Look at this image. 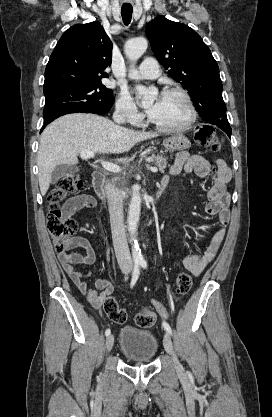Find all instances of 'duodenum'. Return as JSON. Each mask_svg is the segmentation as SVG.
I'll return each mask as SVG.
<instances>
[{
  "label": "duodenum",
  "mask_w": 272,
  "mask_h": 417,
  "mask_svg": "<svg viewBox=\"0 0 272 417\" xmlns=\"http://www.w3.org/2000/svg\"><path fill=\"white\" fill-rule=\"evenodd\" d=\"M105 182H106V175L102 169H96L92 174V185L95 193L100 198H105ZM166 182H161L156 189L155 198H158L164 188L166 187Z\"/></svg>",
  "instance_id": "410a0bca"
}]
</instances>
